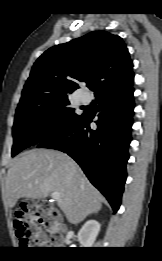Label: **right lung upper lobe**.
I'll return each mask as SVG.
<instances>
[{"mask_svg": "<svg viewBox=\"0 0 162 261\" xmlns=\"http://www.w3.org/2000/svg\"><path fill=\"white\" fill-rule=\"evenodd\" d=\"M133 63L122 38L93 31L45 51L34 63L21 101L34 96H68L78 82H95L99 95L133 84Z\"/></svg>", "mask_w": 162, "mask_h": 261, "instance_id": "obj_1", "label": "right lung upper lobe"}]
</instances>
